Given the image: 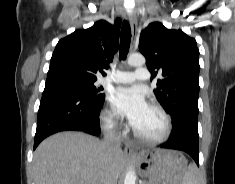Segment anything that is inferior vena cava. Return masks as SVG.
Here are the masks:
<instances>
[{"instance_id": "602c4592", "label": "inferior vena cava", "mask_w": 235, "mask_h": 184, "mask_svg": "<svg viewBox=\"0 0 235 184\" xmlns=\"http://www.w3.org/2000/svg\"><path fill=\"white\" fill-rule=\"evenodd\" d=\"M102 144L106 146V150L110 152V154H121L117 128H113L111 132H106Z\"/></svg>"}]
</instances>
